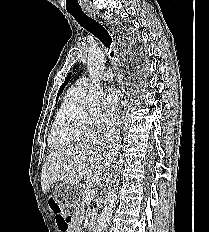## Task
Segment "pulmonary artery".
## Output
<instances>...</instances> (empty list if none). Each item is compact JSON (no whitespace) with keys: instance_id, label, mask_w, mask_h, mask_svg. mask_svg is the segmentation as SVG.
<instances>
[{"instance_id":"obj_1","label":"pulmonary artery","mask_w":209,"mask_h":232,"mask_svg":"<svg viewBox=\"0 0 209 232\" xmlns=\"http://www.w3.org/2000/svg\"><path fill=\"white\" fill-rule=\"evenodd\" d=\"M112 79H113V74L110 71H107L103 75L101 80L102 81H111ZM89 84H90L89 77L84 76V77H81L80 79H78L71 88L76 93L85 94V92L87 91V89L89 87Z\"/></svg>"}]
</instances>
